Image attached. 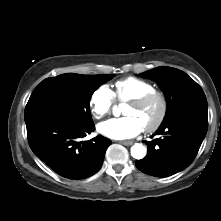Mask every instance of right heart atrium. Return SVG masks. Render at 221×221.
Wrapping results in <instances>:
<instances>
[{
	"label": "right heart atrium",
	"mask_w": 221,
	"mask_h": 221,
	"mask_svg": "<svg viewBox=\"0 0 221 221\" xmlns=\"http://www.w3.org/2000/svg\"><path fill=\"white\" fill-rule=\"evenodd\" d=\"M114 104V93L108 85L97 87L90 97V110L94 118L101 119L107 115Z\"/></svg>",
	"instance_id": "d8ad5b80"
}]
</instances>
